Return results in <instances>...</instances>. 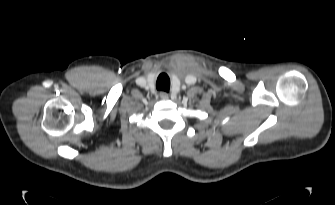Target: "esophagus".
Listing matches in <instances>:
<instances>
[{
  "label": "esophagus",
  "mask_w": 335,
  "mask_h": 205,
  "mask_svg": "<svg viewBox=\"0 0 335 205\" xmlns=\"http://www.w3.org/2000/svg\"><path fill=\"white\" fill-rule=\"evenodd\" d=\"M159 95H160L161 99H167L168 98V94L166 92H161Z\"/></svg>",
  "instance_id": "34e87169"
}]
</instances>
